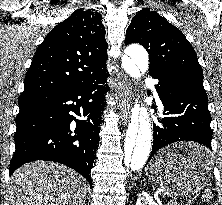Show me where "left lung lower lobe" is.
I'll return each mask as SVG.
<instances>
[{
	"label": "left lung lower lobe",
	"instance_id": "1",
	"mask_svg": "<svg viewBox=\"0 0 222 205\" xmlns=\"http://www.w3.org/2000/svg\"><path fill=\"white\" fill-rule=\"evenodd\" d=\"M149 74L158 79L156 91L164 106L163 119L154 124L153 146L149 160L162 147L179 141L204 145L203 151H189L178 158L181 164H209L212 131L208 98L203 83L183 72L154 67Z\"/></svg>",
	"mask_w": 222,
	"mask_h": 205
}]
</instances>
